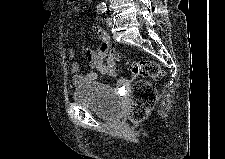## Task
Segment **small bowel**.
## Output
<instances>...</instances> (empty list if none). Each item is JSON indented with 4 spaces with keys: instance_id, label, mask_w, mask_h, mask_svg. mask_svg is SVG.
I'll use <instances>...</instances> for the list:
<instances>
[{
    "instance_id": "1",
    "label": "small bowel",
    "mask_w": 225,
    "mask_h": 159,
    "mask_svg": "<svg viewBox=\"0 0 225 159\" xmlns=\"http://www.w3.org/2000/svg\"><path fill=\"white\" fill-rule=\"evenodd\" d=\"M96 34L102 43L101 47L110 48L109 47L110 37H109L108 33L101 28H96ZM75 55H76V53L73 48H69L67 50V56L71 60L69 69H70L71 73L73 74L72 81L75 86H80V85L92 82L97 79L99 74L112 75V73H110L107 65L104 64L103 59L99 56L98 52H95L94 50H91V49L87 50L88 62L93 69V71H91L89 73H81L80 72V65L76 60H74ZM122 83H124V81H122Z\"/></svg>"
}]
</instances>
